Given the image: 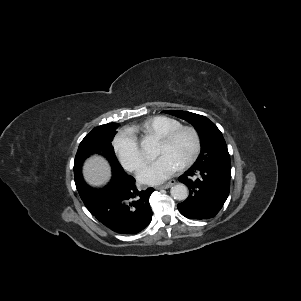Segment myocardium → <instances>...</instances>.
<instances>
[{
	"instance_id": "myocardium-1",
	"label": "myocardium",
	"mask_w": 301,
	"mask_h": 301,
	"mask_svg": "<svg viewBox=\"0 0 301 301\" xmlns=\"http://www.w3.org/2000/svg\"><path fill=\"white\" fill-rule=\"evenodd\" d=\"M190 133L194 141V147L191 154L181 163V168H185L196 161L201 151V137L196 128L192 126H180L175 130L159 137L160 141L167 144L173 143L183 133Z\"/></svg>"
}]
</instances>
